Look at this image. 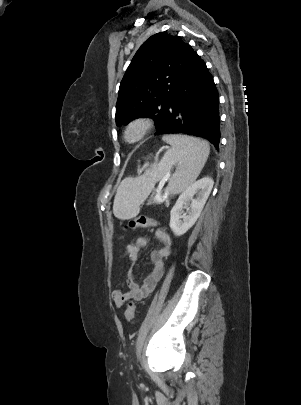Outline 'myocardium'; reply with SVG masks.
Returning <instances> with one entry per match:
<instances>
[{
  "instance_id": "1",
  "label": "myocardium",
  "mask_w": 301,
  "mask_h": 405,
  "mask_svg": "<svg viewBox=\"0 0 301 405\" xmlns=\"http://www.w3.org/2000/svg\"><path fill=\"white\" fill-rule=\"evenodd\" d=\"M152 127L153 122L149 118L140 117L133 119L124 127L122 133L123 141L131 145L137 144L147 136Z\"/></svg>"
}]
</instances>
